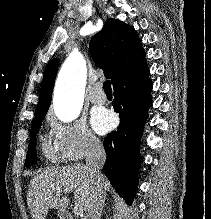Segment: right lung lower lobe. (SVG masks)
Here are the masks:
<instances>
[{
  "label": "right lung lower lobe",
  "mask_w": 211,
  "mask_h": 219,
  "mask_svg": "<svg viewBox=\"0 0 211 219\" xmlns=\"http://www.w3.org/2000/svg\"><path fill=\"white\" fill-rule=\"evenodd\" d=\"M112 84L113 108L120 115V125L104 139L107 154L104 171L115 190L131 205L136 195V176L141 162L140 138L152 103V84L146 60Z\"/></svg>",
  "instance_id": "1"
}]
</instances>
